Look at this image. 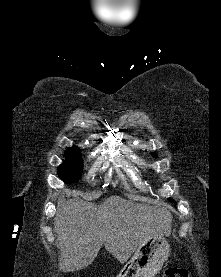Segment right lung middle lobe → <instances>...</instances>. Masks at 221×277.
Here are the masks:
<instances>
[{"mask_svg":"<svg viewBox=\"0 0 221 277\" xmlns=\"http://www.w3.org/2000/svg\"><path fill=\"white\" fill-rule=\"evenodd\" d=\"M66 161L58 168L59 177L71 184L78 182L82 173V159L80 150L77 147L68 148L65 152Z\"/></svg>","mask_w":221,"mask_h":277,"instance_id":"dd1d6c3e","label":"right lung middle lobe"}]
</instances>
